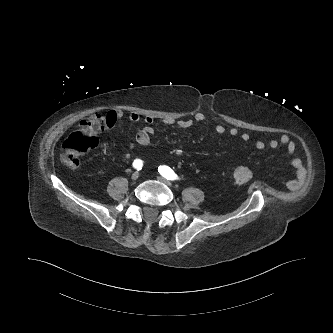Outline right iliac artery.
<instances>
[{"mask_svg": "<svg viewBox=\"0 0 333 333\" xmlns=\"http://www.w3.org/2000/svg\"><path fill=\"white\" fill-rule=\"evenodd\" d=\"M142 166H143V161L140 160V159H136L134 160L133 162V167L137 170H141L142 169Z\"/></svg>", "mask_w": 333, "mask_h": 333, "instance_id": "1", "label": "right iliac artery"}]
</instances>
